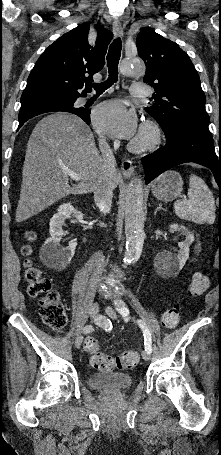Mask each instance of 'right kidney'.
<instances>
[{
  "label": "right kidney",
  "instance_id": "obj_1",
  "mask_svg": "<svg viewBox=\"0 0 221 455\" xmlns=\"http://www.w3.org/2000/svg\"><path fill=\"white\" fill-rule=\"evenodd\" d=\"M71 215L78 221L83 219V214L74 208L71 203L59 206L57 213L50 220V237L44 242L40 250L42 262L53 269L63 270L74 256L77 243H70L68 247H62L60 240L63 236V225Z\"/></svg>",
  "mask_w": 221,
  "mask_h": 455
}]
</instances>
